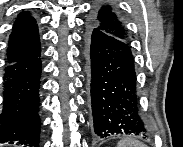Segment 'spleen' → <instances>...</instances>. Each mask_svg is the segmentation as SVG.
Segmentation results:
<instances>
[{"label": "spleen", "mask_w": 183, "mask_h": 147, "mask_svg": "<svg viewBox=\"0 0 183 147\" xmlns=\"http://www.w3.org/2000/svg\"><path fill=\"white\" fill-rule=\"evenodd\" d=\"M117 147H147L144 143L138 141V140H133V139H122L118 142Z\"/></svg>", "instance_id": "1"}]
</instances>
